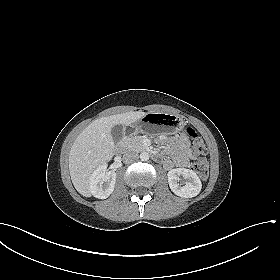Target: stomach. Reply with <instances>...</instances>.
<instances>
[{"mask_svg":"<svg viewBox=\"0 0 280 280\" xmlns=\"http://www.w3.org/2000/svg\"><path fill=\"white\" fill-rule=\"evenodd\" d=\"M133 133L162 130L166 133H178L184 127L182 118L168 113H148L131 125Z\"/></svg>","mask_w":280,"mask_h":280,"instance_id":"stomach-1","label":"stomach"}]
</instances>
